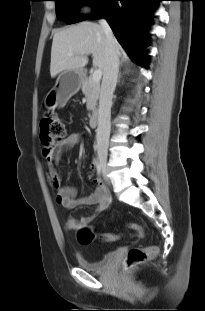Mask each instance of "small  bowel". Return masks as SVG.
<instances>
[{
    "label": "small bowel",
    "mask_w": 205,
    "mask_h": 311,
    "mask_svg": "<svg viewBox=\"0 0 205 311\" xmlns=\"http://www.w3.org/2000/svg\"><path fill=\"white\" fill-rule=\"evenodd\" d=\"M80 140L81 135L79 133H69L62 141L53 146L51 153L47 158L49 166L48 179L51 187L56 192L57 201L62 206L68 209H73L80 205L96 206L95 213L91 216L82 217L80 219L69 217L66 222V229L68 230H78L80 227L86 226L96 217L97 214L106 210L110 204L109 192L100 180L94 181L96 188L93 193L81 198H76L75 189L73 187L64 186L62 184L61 173L58 169L59 158L63 153L76 146ZM93 169L94 163L92 164V170Z\"/></svg>",
    "instance_id": "obj_1"
}]
</instances>
